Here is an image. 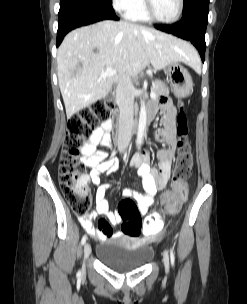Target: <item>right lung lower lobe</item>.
Returning a JSON list of instances; mask_svg holds the SVG:
<instances>
[{"label": "right lung lower lobe", "mask_w": 247, "mask_h": 304, "mask_svg": "<svg viewBox=\"0 0 247 304\" xmlns=\"http://www.w3.org/2000/svg\"><path fill=\"white\" fill-rule=\"evenodd\" d=\"M107 19H119L111 4L89 0H60L57 46L69 31Z\"/></svg>", "instance_id": "right-lung-lower-lobe-1"}]
</instances>
